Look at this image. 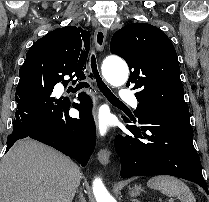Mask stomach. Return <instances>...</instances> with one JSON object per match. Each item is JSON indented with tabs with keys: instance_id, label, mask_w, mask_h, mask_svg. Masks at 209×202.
<instances>
[{
	"instance_id": "1",
	"label": "stomach",
	"mask_w": 209,
	"mask_h": 202,
	"mask_svg": "<svg viewBox=\"0 0 209 202\" xmlns=\"http://www.w3.org/2000/svg\"><path fill=\"white\" fill-rule=\"evenodd\" d=\"M140 191H141V187L135 186V188L132 189V191L130 193H131V195H137Z\"/></svg>"
}]
</instances>
